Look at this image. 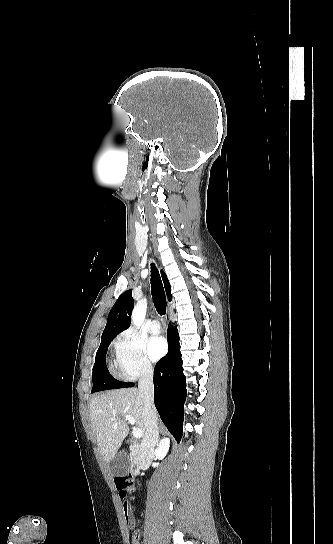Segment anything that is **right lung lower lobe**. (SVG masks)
<instances>
[{
    "label": "right lung lower lobe",
    "mask_w": 333,
    "mask_h": 544,
    "mask_svg": "<svg viewBox=\"0 0 333 544\" xmlns=\"http://www.w3.org/2000/svg\"><path fill=\"white\" fill-rule=\"evenodd\" d=\"M176 327L168 328L169 350L154 368V402L158 413L177 441L183 433L184 402L186 399L185 376ZM131 383L128 387H133Z\"/></svg>",
    "instance_id": "98d812e1"
}]
</instances>
